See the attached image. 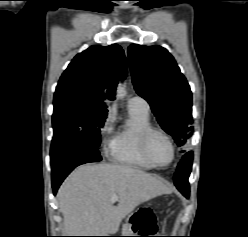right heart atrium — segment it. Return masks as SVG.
Instances as JSON below:
<instances>
[{
  "instance_id": "obj_1",
  "label": "right heart atrium",
  "mask_w": 248,
  "mask_h": 237,
  "mask_svg": "<svg viewBox=\"0 0 248 237\" xmlns=\"http://www.w3.org/2000/svg\"><path fill=\"white\" fill-rule=\"evenodd\" d=\"M112 121V112L109 110L99 128V140L104 154L110 153L113 146Z\"/></svg>"
}]
</instances>
